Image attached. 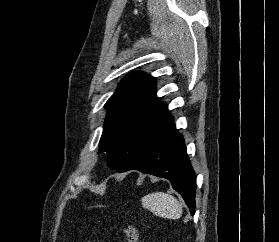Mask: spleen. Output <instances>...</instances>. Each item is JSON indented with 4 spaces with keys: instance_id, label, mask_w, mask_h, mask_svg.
<instances>
[{
    "instance_id": "obj_1",
    "label": "spleen",
    "mask_w": 279,
    "mask_h": 242,
    "mask_svg": "<svg viewBox=\"0 0 279 242\" xmlns=\"http://www.w3.org/2000/svg\"><path fill=\"white\" fill-rule=\"evenodd\" d=\"M142 206L160 217L179 219L182 216V207L179 201L164 192H154L144 196Z\"/></svg>"
}]
</instances>
